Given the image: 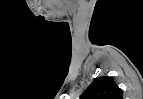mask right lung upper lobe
I'll list each match as a JSON object with an SVG mask.
<instances>
[{
  "label": "right lung upper lobe",
  "mask_w": 143,
  "mask_h": 99,
  "mask_svg": "<svg viewBox=\"0 0 143 99\" xmlns=\"http://www.w3.org/2000/svg\"><path fill=\"white\" fill-rule=\"evenodd\" d=\"M80 99H122V90L112 77L102 76L88 86Z\"/></svg>",
  "instance_id": "obj_1"
}]
</instances>
